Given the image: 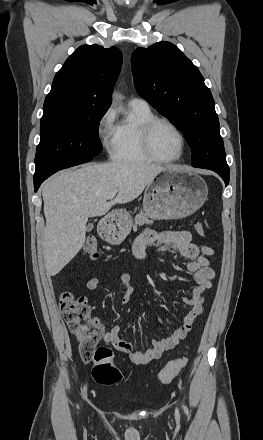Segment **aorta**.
<instances>
[{
    "label": "aorta",
    "instance_id": "1",
    "mask_svg": "<svg viewBox=\"0 0 263 440\" xmlns=\"http://www.w3.org/2000/svg\"><path fill=\"white\" fill-rule=\"evenodd\" d=\"M114 96H115V97H119V95H118V94H115Z\"/></svg>",
    "mask_w": 263,
    "mask_h": 440
}]
</instances>
